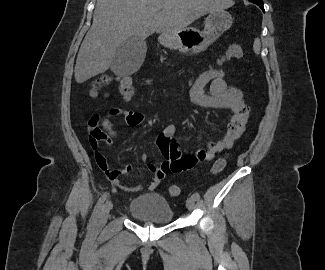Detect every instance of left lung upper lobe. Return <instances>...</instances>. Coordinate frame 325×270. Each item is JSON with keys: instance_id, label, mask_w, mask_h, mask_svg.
<instances>
[{"instance_id": "5c2ea615", "label": "left lung upper lobe", "mask_w": 325, "mask_h": 270, "mask_svg": "<svg viewBox=\"0 0 325 270\" xmlns=\"http://www.w3.org/2000/svg\"><path fill=\"white\" fill-rule=\"evenodd\" d=\"M251 2H263L262 0H249Z\"/></svg>"}]
</instances>
